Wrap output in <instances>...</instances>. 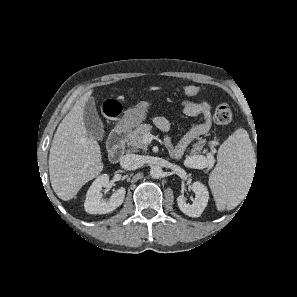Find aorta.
I'll list each match as a JSON object with an SVG mask.
<instances>
[{
    "label": "aorta",
    "instance_id": "1",
    "mask_svg": "<svg viewBox=\"0 0 297 297\" xmlns=\"http://www.w3.org/2000/svg\"><path fill=\"white\" fill-rule=\"evenodd\" d=\"M150 175L155 179L161 178L163 175V170L159 166H152L150 169Z\"/></svg>",
    "mask_w": 297,
    "mask_h": 297
}]
</instances>
